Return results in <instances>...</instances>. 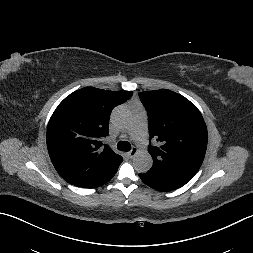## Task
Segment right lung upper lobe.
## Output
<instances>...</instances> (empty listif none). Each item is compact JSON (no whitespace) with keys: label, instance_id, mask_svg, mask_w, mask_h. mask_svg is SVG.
Instances as JSON below:
<instances>
[{"label":"right lung upper lobe","instance_id":"right-lung-upper-lobe-1","mask_svg":"<svg viewBox=\"0 0 253 253\" xmlns=\"http://www.w3.org/2000/svg\"><path fill=\"white\" fill-rule=\"evenodd\" d=\"M132 91L79 89L56 108L47 127V147L57 172L70 184L95 188L107 182L123 161L101 139L109 134L111 110Z\"/></svg>","mask_w":253,"mask_h":253}]
</instances>
